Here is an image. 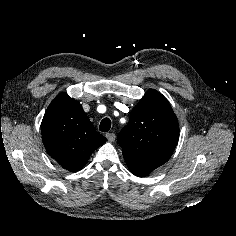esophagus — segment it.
<instances>
[{"label":"esophagus","instance_id":"obj_1","mask_svg":"<svg viewBox=\"0 0 236 236\" xmlns=\"http://www.w3.org/2000/svg\"><path fill=\"white\" fill-rule=\"evenodd\" d=\"M106 138L108 139L109 142H114L116 139V136L114 133H108L106 134Z\"/></svg>","mask_w":236,"mask_h":236}]
</instances>
